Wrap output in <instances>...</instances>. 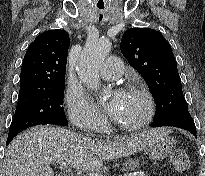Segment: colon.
I'll use <instances>...</instances> for the list:
<instances>
[{"instance_id":"5ec220e1","label":"colon","mask_w":205,"mask_h":176,"mask_svg":"<svg viewBox=\"0 0 205 176\" xmlns=\"http://www.w3.org/2000/svg\"><path fill=\"white\" fill-rule=\"evenodd\" d=\"M172 168L180 173L185 174L189 169V158L183 150H175L170 157Z\"/></svg>"}]
</instances>
